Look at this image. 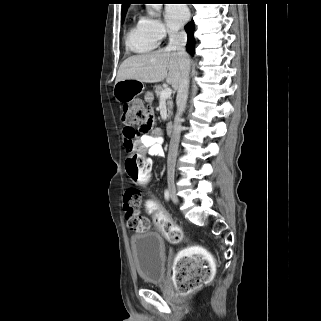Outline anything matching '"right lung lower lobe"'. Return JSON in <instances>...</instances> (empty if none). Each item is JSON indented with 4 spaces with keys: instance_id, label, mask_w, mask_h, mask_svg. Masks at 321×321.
<instances>
[{
    "instance_id": "right-lung-lower-lobe-1",
    "label": "right lung lower lobe",
    "mask_w": 321,
    "mask_h": 321,
    "mask_svg": "<svg viewBox=\"0 0 321 321\" xmlns=\"http://www.w3.org/2000/svg\"><path fill=\"white\" fill-rule=\"evenodd\" d=\"M185 31L188 35V41H187V51L193 55L194 54V46H195V40H194V23L193 22H189L186 26H185Z\"/></svg>"
}]
</instances>
